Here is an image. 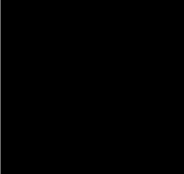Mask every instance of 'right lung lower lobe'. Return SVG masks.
I'll return each mask as SVG.
<instances>
[{
  "label": "right lung lower lobe",
  "mask_w": 184,
  "mask_h": 174,
  "mask_svg": "<svg viewBox=\"0 0 184 174\" xmlns=\"http://www.w3.org/2000/svg\"><path fill=\"white\" fill-rule=\"evenodd\" d=\"M76 125L77 118L71 116L52 125H35L33 133L37 141L53 148H61L72 140Z\"/></svg>",
  "instance_id": "right-lung-lower-lobe-1"
}]
</instances>
